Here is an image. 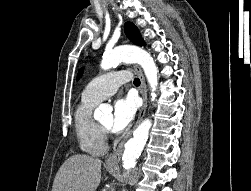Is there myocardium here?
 <instances>
[{
    "mask_svg": "<svg viewBox=\"0 0 251 191\" xmlns=\"http://www.w3.org/2000/svg\"><path fill=\"white\" fill-rule=\"evenodd\" d=\"M98 124H99V126L102 128V130H103L105 133L109 132V128H108V127L104 126L102 123H98Z\"/></svg>",
    "mask_w": 251,
    "mask_h": 191,
    "instance_id": "myocardium-1",
    "label": "myocardium"
}]
</instances>
